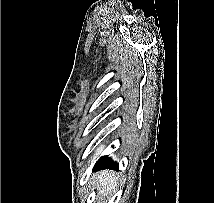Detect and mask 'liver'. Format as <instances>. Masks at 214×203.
<instances>
[{"label": "liver", "mask_w": 214, "mask_h": 203, "mask_svg": "<svg viewBox=\"0 0 214 203\" xmlns=\"http://www.w3.org/2000/svg\"><path fill=\"white\" fill-rule=\"evenodd\" d=\"M98 184L97 188L101 190L103 194H111L116 183V176L111 171H101L96 177Z\"/></svg>", "instance_id": "liver-1"}]
</instances>
